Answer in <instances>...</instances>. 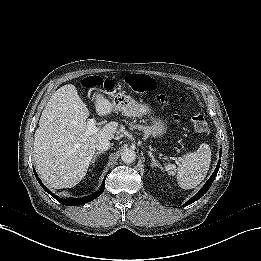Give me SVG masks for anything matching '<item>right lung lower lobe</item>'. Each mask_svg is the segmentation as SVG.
I'll return each instance as SVG.
<instances>
[{"label":"right lung lower lobe","instance_id":"1","mask_svg":"<svg viewBox=\"0 0 261 261\" xmlns=\"http://www.w3.org/2000/svg\"><path fill=\"white\" fill-rule=\"evenodd\" d=\"M34 174L38 180V182L40 183V185L43 187V189L48 192L50 195H52L56 200H58L61 204L63 205H68V206H78V205H82V204H85L87 202H90L92 200H94L95 198H97L103 191H104V188H105V179L102 183V186L100 187L99 191L95 192L94 194L92 195H89V196H85L83 198H80V199H74V200H63L61 198H59L58 196H56L55 194H53L51 191H49L47 189V187H45L40 179L38 178L37 176V173L34 171Z\"/></svg>","mask_w":261,"mask_h":261}]
</instances>
